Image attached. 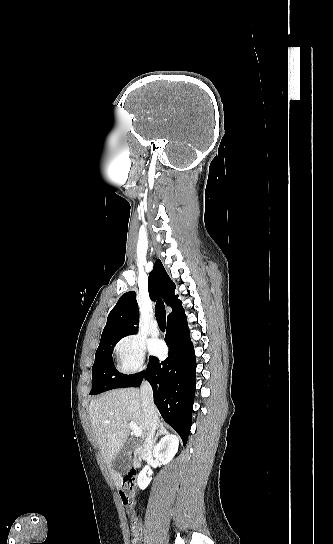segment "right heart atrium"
Listing matches in <instances>:
<instances>
[{
	"mask_svg": "<svg viewBox=\"0 0 333 544\" xmlns=\"http://www.w3.org/2000/svg\"><path fill=\"white\" fill-rule=\"evenodd\" d=\"M116 366L120 373L131 375L146 367L145 347L142 340L134 335H126L114 346Z\"/></svg>",
	"mask_w": 333,
	"mask_h": 544,
	"instance_id": "right-heart-atrium-1",
	"label": "right heart atrium"
}]
</instances>
